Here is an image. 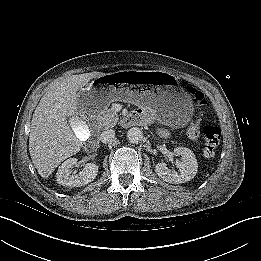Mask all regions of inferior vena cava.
<instances>
[{"instance_id":"602c4592","label":"inferior vena cava","mask_w":261,"mask_h":261,"mask_svg":"<svg viewBox=\"0 0 261 261\" xmlns=\"http://www.w3.org/2000/svg\"><path fill=\"white\" fill-rule=\"evenodd\" d=\"M114 137H115V131L113 129H107L101 133L99 139L102 143H107L112 141Z\"/></svg>"}]
</instances>
